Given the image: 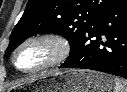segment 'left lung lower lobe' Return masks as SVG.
I'll use <instances>...</instances> for the list:
<instances>
[{
  "instance_id": "obj_1",
  "label": "left lung lower lobe",
  "mask_w": 127,
  "mask_h": 92,
  "mask_svg": "<svg viewBox=\"0 0 127 92\" xmlns=\"http://www.w3.org/2000/svg\"><path fill=\"white\" fill-rule=\"evenodd\" d=\"M59 68L91 69L127 79V0L102 15Z\"/></svg>"
}]
</instances>
